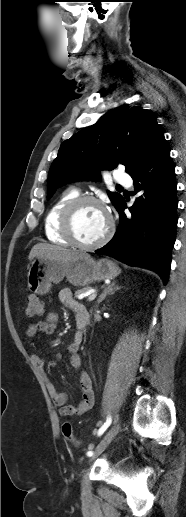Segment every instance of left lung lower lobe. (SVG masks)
Here are the masks:
<instances>
[{
    "label": "left lung lower lobe",
    "mask_w": 186,
    "mask_h": 517,
    "mask_svg": "<svg viewBox=\"0 0 186 517\" xmlns=\"http://www.w3.org/2000/svg\"><path fill=\"white\" fill-rule=\"evenodd\" d=\"M134 194L141 192L129 208L123 200L117 206L120 223L112 240L97 253L158 273L167 283L177 226L175 167L170 147L162 138L152 153L130 174Z\"/></svg>",
    "instance_id": "1"
}]
</instances>
